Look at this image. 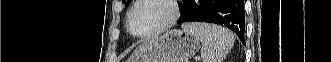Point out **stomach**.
<instances>
[{"label":"stomach","instance_id":"1","mask_svg":"<svg viewBox=\"0 0 331 62\" xmlns=\"http://www.w3.org/2000/svg\"><path fill=\"white\" fill-rule=\"evenodd\" d=\"M199 46V39L194 35L184 30H170L139 45L132 62H187Z\"/></svg>","mask_w":331,"mask_h":62}]
</instances>
